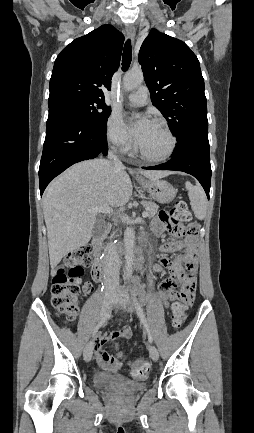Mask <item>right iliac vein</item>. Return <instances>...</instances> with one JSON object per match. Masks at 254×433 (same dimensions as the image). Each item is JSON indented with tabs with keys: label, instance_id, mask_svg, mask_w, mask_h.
I'll list each match as a JSON object with an SVG mask.
<instances>
[{
	"label": "right iliac vein",
	"instance_id": "obj_1",
	"mask_svg": "<svg viewBox=\"0 0 254 433\" xmlns=\"http://www.w3.org/2000/svg\"><path fill=\"white\" fill-rule=\"evenodd\" d=\"M114 302V292H109L105 295L103 305H102V316L110 310ZM93 354V342H89L84 349V360L89 362Z\"/></svg>",
	"mask_w": 254,
	"mask_h": 433
}]
</instances>
